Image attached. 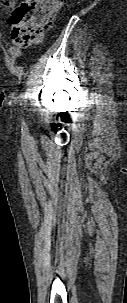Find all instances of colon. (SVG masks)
<instances>
[{
    "instance_id": "5ec220e1",
    "label": "colon",
    "mask_w": 127,
    "mask_h": 303,
    "mask_svg": "<svg viewBox=\"0 0 127 303\" xmlns=\"http://www.w3.org/2000/svg\"><path fill=\"white\" fill-rule=\"evenodd\" d=\"M16 0H0L1 5L10 7ZM64 0H24L12 12L11 37L15 46L23 48L39 43L46 29L52 26L55 14Z\"/></svg>"
}]
</instances>
